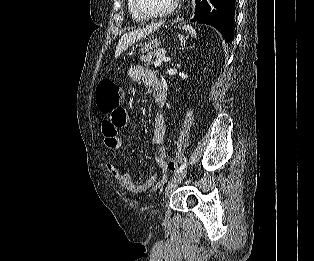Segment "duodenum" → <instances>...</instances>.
<instances>
[{"mask_svg": "<svg viewBox=\"0 0 314 261\" xmlns=\"http://www.w3.org/2000/svg\"><path fill=\"white\" fill-rule=\"evenodd\" d=\"M156 99L160 102V103H164L165 102V92L163 89H159L156 91Z\"/></svg>", "mask_w": 314, "mask_h": 261, "instance_id": "obj_1", "label": "duodenum"}]
</instances>
